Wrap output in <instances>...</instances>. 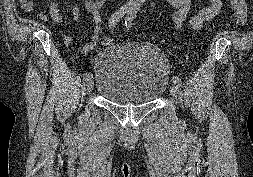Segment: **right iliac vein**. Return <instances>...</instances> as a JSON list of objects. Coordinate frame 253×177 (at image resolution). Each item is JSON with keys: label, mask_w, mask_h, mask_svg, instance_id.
<instances>
[{"label": "right iliac vein", "mask_w": 253, "mask_h": 177, "mask_svg": "<svg viewBox=\"0 0 253 177\" xmlns=\"http://www.w3.org/2000/svg\"><path fill=\"white\" fill-rule=\"evenodd\" d=\"M93 87H94V81L92 78H90L87 82H86V85H85V89L88 93H90L92 90H93Z\"/></svg>", "instance_id": "1"}]
</instances>
